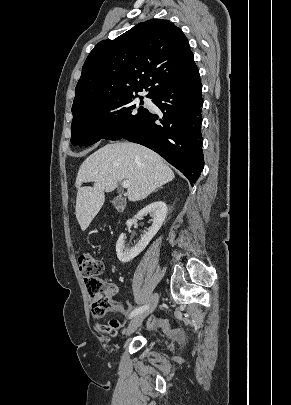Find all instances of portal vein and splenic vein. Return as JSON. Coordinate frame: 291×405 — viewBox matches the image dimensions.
Segmentation results:
<instances>
[{
    "mask_svg": "<svg viewBox=\"0 0 291 405\" xmlns=\"http://www.w3.org/2000/svg\"><path fill=\"white\" fill-rule=\"evenodd\" d=\"M122 186H123V188H129L130 182H129L128 180H124V181L122 182Z\"/></svg>",
    "mask_w": 291,
    "mask_h": 405,
    "instance_id": "obj_1",
    "label": "portal vein and splenic vein"
}]
</instances>
